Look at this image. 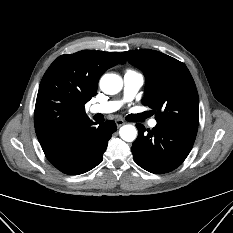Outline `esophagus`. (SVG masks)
Here are the masks:
<instances>
[{
	"mask_svg": "<svg viewBox=\"0 0 233 233\" xmlns=\"http://www.w3.org/2000/svg\"><path fill=\"white\" fill-rule=\"evenodd\" d=\"M115 123H116L117 127H120V126L125 124V122L122 119H116Z\"/></svg>",
	"mask_w": 233,
	"mask_h": 233,
	"instance_id": "34e87169",
	"label": "esophagus"
}]
</instances>
